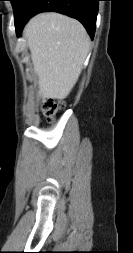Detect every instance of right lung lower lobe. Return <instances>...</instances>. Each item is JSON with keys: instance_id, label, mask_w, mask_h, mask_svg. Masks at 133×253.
<instances>
[{"instance_id": "right-lung-lower-lobe-1", "label": "right lung lower lobe", "mask_w": 133, "mask_h": 253, "mask_svg": "<svg viewBox=\"0 0 133 253\" xmlns=\"http://www.w3.org/2000/svg\"><path fill=\"white\" fill-rule=\"evenodd\" d=\"M99 1L101 0H26L15 22L17 36L31 17L41 12L53 11L79 20L93 39Z\"/></svg>"}]
</instances>
